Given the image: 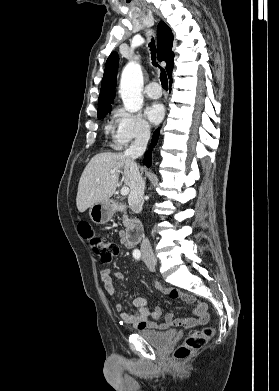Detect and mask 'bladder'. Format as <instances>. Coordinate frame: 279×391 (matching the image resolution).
Wrapping results in <instances>:
<instances>
[{
  "label": "bladder",
  "instance_id": "bladder-1",
  "mask_svg": "<svg viewBox=\"0 0 279 391\" xmlns=\"http://www.w3.org/2000/svg\"><path fill=\"white\" fill-rule=\"evenodd\" d=\"M138 335L146 340L150 345L156 348H166L168 347L178 336L176 330H167V331H138Z\"/></svg>",
  "mask_w": 279,
  "mask_h": 391
}]
</instances>
